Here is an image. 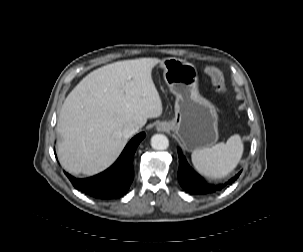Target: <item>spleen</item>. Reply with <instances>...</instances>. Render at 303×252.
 <instances>
[{"label": "spleen", "instance_id": "1", "mask_svg": "<svg viewBox=\"0 0 303 252\" xmlns=\"http://www.w3.org/2000/svg\"><path fill=\"white\" fill-rule=\"evenodd\" d=\"M244 145L240 135H232L226 143L192 152L191 159L199 173L209 178H223L232 172L241 160Z\"/></svg>", "mask_w": 303, "mask_h": 252}]
</instances>
